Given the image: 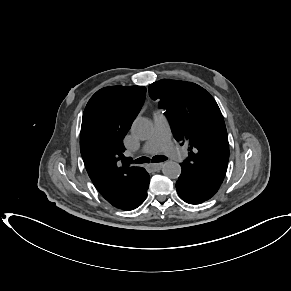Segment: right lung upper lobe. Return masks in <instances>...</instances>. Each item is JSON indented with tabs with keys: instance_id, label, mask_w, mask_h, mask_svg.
I'll return each mask as SVG.
<instances>
[{
	"instance_id": "1",
	"label": "right lung upper lobe",
	"mask_w": 291,
	"mask_h": 291,
	"mask_svg": "<svg viewBox=\"0 0 291 291\" xmlns=\"http://www.w3.org/2000/svg\"><path fill=\"white\" fill-rule=\"evenodd\" d=\"M146 94L143 86H110L97 91L82 117L80 151L90 179L101 195L120 207L133 198L143 168L131 167L123 138L138 115Z\"/></svg>"
}]
</instances>
